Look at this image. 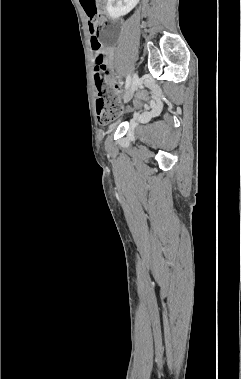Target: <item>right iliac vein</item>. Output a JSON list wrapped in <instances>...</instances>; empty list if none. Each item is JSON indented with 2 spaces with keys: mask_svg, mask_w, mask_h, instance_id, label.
I'll use <instances>...</instances> for the list:
<instances>
[{
  "mask_svg": "<svg viewBox=\"0 0 241 379\" xmlns=\"http://www.w3.org/2000/svg\"><path fill=\"white\" fill-rule=\"evenodd\" d=\"M138 84H139V78L136 74H134L132 81H131V84L129 86V89H128V91L125 95V98H124L125 102H128L133 97V94L135 93ZM156 110H157V107L153 110V112Z\"/></svg>",
  "mask_w": 241,
  "mask_h": 379,
  "instance_id": "right-iliac-vein-1",
  "label": "right iliac vein"
}]
</instances>
